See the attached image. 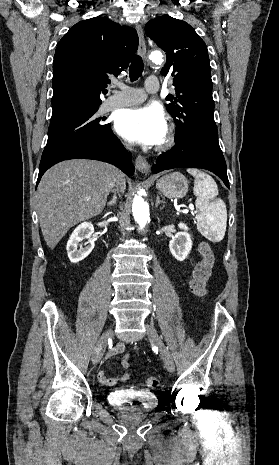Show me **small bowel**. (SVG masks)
I'll list each match as a JSON object with an SVG mask.
<instances>
[{"label":"small bowel","instance_id":"c3829d8e","mask_svg":"<svg viewBox=\"0 0 279 465\" xmlns=\"http://www.w3.org/2000/svg\"><path fill=\"white\" fill-rule=\"evenodd\" d=\"M125 351V344L123 342H118L109 352L106 357L111 358L115 355L123 354ZM121 365L124 369H128L130 366V354L126 353L121 358ZM99 380L105 385H115L119 382H124L129 378V373L126 372L120 377H110L104 371H100L98 374Z\"/></svg>","mask_w":279,"mask_h":465}]
</instances>
